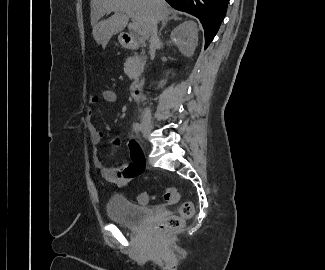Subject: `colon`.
<instances>
[{
    "instance_id": "obj_1",
    "label": "colon",
    "mask_w": 325,
    "mask_h": 270,
    "mask_svg": "<svg viewBox=\"0 0 325 270\" xmlns=\"http://www.w3.org/2000/svg\"><path fill=\"white\" fill-rule=\"evenodd\" d=\"M101 99L103 102L111 104L117 99V94L113 88H105L101 93ZM153 196L148 192H142L138 199L141 204H147ZM164 198L168 204H175L179 200V193L175 188H167L164 191ZM194 212V206L192 202L185 201L179 207L178 214L171 215L164 220L157 223L154 227L156 233H166L180 229L184 223L190 219Z\"/></svg>"
}]
</instances>
